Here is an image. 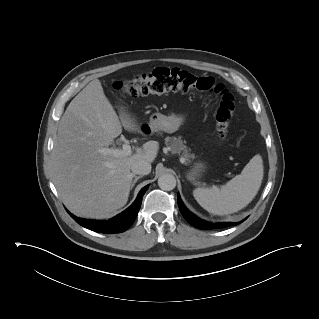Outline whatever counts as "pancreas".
<instances>
[{
    "label": "pancreas",
    "instance_id": "cf45deb5",
    "mask_svg": "<svg viewBox=\"0 0 319 319\" xmlns=\"http://www.w3.org/2000/svg\"><path fill=\"white\" fill-rule=\"evenodd\" d=\"M166 145H169L172 154H181V159L185 164H189L195 158V154L191 153V149L184 145L181 137H167Z\"/></svg>",
    "mask_w": 319,
    "mask_h": 319
}]
</instances>
